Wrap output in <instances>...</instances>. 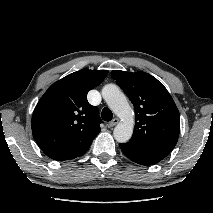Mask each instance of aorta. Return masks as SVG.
Wrapping results in <instances>:
<instances>
[{
	"label": "aorta",
	"mask_w": 213,
	"mask_h": 213,
	"mask_svg": "<svg viewBox=\"0 0 213 213\" xmlns=\"http://www.w3.org/2000/svg\"><path fill=\"white\" fill-rule=\"evenodd\" d=\"M102 96L110 109L121 119L113 131L115 140L119 143L128 142L133 134L134 113L126 96L114 84L105 85Z\"/></svg>",
	"instance_id": "obj_1"
}]
</instances>
